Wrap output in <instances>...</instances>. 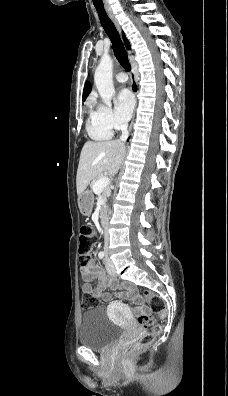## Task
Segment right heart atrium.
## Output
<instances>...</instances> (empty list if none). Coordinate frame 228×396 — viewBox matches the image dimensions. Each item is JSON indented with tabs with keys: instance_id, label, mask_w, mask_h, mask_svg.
<instances>
[{
	"instance_id": "1",
	"label": "right heart atrium",
	"mask_w": 228,
	"mask_h": 396,
	"mask_svg": "<svg viewBox=\"0 0 228 396\" xmlns=\"http://www.w3.org/2000/svg\"><path fill=\"white\" fill-rule=\"evenodd\" d=\"M96 119L107 129L111 131L119 130L125 126L114 111L107 105L97 104L94 108Z\"/></svg>"
}]
</instances>
